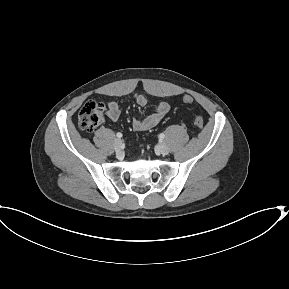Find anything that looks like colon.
Wrapping results in <instances>:
<instances>
[{
    "mask_svg": "<svg viewBox=\"0 0 289 289\" xmlns=\"http://www.w3.org/2000/svg\"><path fill=\"white\" fill-rule=\"evenodd\" d=\"M183 102L185 104H191L193 102V98L186 95L183 98ZM104 109L105 107L101 102L94 100L86 101L78 114L79 128L87 132H91L96 129L103 121ZM194 125L198 129H202L204 126L203 118L201 116H196Z\"/></svg>",
    "mask_w": 289,
    "mask_h": 289,
    "instance_id": "obj_1",
    "label": "colon"
}]
</instances>
